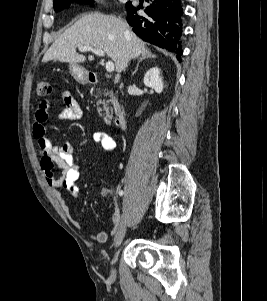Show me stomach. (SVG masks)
Segmentation results:
<instances>
[{"label": "stomach", "mask_w": 267, "mask_h": 301, "mask_svg": "<svg viewBox=\"0 0 267 301\" xmlns=\"http://www.w3.org/2000/svg\"><path fill=\"white\" fill-rule=\"evenodd\" d=\"M69 71L77 82L81 84H85L87 82L88 73L83 67L78 64H70Z\"/></svg>", "instance_id": "1"}]
</instances>
